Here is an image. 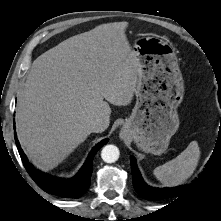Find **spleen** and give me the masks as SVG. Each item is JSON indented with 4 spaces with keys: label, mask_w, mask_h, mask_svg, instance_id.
<instances>
[{
    "label": "spleen",
    "mask_w": 221,
    "mask_h": 221,
    "mask_svg": "<svg viewBox=\"0 0 221 221\" xmlns=\"http://www.w3.org/2000/svg\"><path fill=\"white\" fill-rule=\"evenodd\" d=\"M200 154L198 143L192 141L176 158L156 167L153 174L165 186L179 185L192 176L198 165Z\"/></svg>",
    "instance_id": "obj_1"
}]
</instances>
